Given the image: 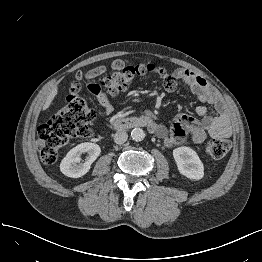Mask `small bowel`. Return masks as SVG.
<instances>
[{"label": "small bowel", "mask_w": 262, "mask_h": 262, "mask_svg": "<svg viewBox=\"0 0 262 262\" xmlns=\"http://www.w3.org/2000/svg\"><path fill=\"white\" fill-rule=\"evenodd\" d=\"M116 65L117 63L113 64V66ZM107 68V66L94 68L89 72V77L99 76ZM155 73L162 79L163 87L167 92L175 91L180 81L189 87L201 103L214 106L217 112V114L211 115L207 107L198 106L195 109V114L200 118L198 123L194 118L184 115L178 117L170 127L157 123V117L151 111L143 112L141 118L150 124V132L162 139L167 147L181 144L188 134L197 143H202L207 134L212 138H229L232 136L227 115V104L202 76L188 68H178L169 73L164 67H158ZM103 109L107 115L113 113V109L108 103L103 104Z\"/></svg>", "instance_id": "c3829d8e"}]
</instances>
